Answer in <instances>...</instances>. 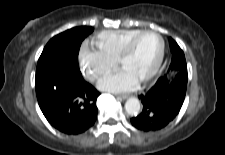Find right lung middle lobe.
Returning <instances> with one entry per match:
<instances>
[{"instance_id": "1", "label": "right lung middle lobe", "mask_w": 225, "mask_h": 155, "mask_svg": "<svg viewBox=\"0 0 225 155\" xmlns=\"http://www.w3.org/2000/svg\"><path fill=\"white\" fill-rule=\"evenodd\" d=\"M94 30L92 27H74L54 36L44 47L39 57L35 86L51 73L65 65L78 66V53L82 41Z\"/></svg>"}]
</instances>
